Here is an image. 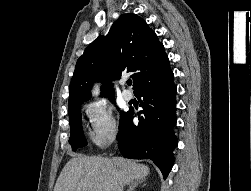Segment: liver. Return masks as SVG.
Masks as SVG:
<instances>
[{
    "label": "liver",
    "instance_id": "obj_1",
    "mask_svg": "<svg viewBox=\"0 0 251 191\" xmlns=\"http://www.w3.org/2000/svg\"><path fill=\"white\" fill-rule=\"evenodd\" d=\"M149 167L124 157H86L75 153L64 165L54 191H119L125 183L148 175Z\"/></svg>",
    "mask_w": 251,
    "mask_h": 191
}]
</instances>
